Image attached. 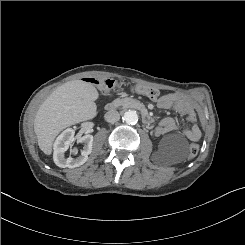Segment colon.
<instances>
[{
  "mask_svg": "<svg viewBox=\"0 0 245 245\" xmlns=\"http://www.w3.org/2000/svg\"><path fill=\"white\" fill-rule=\"evenodd\" d=\"M101 88L104 91H110L114 88V82L109 81V80L105 81L101 85ZM134 91L136 93L143 94V95L150 97V98H157L160 94L158 89L153 88V87H147V86H137L134 88ZM198 152H199V145L196 143H192L188 149V158L192 159V158L196 157Z\"/></svg>",
  "mask_w": 245,
  "mask_h": 245,
  "instance_id": "obj_1",
  "label": "colon"
}]
</instances>
